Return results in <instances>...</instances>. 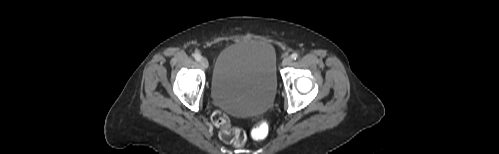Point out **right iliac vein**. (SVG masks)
Masks as SVG:
<instances>
[{
	"label": "right iliac vein",
	"instance_id": "right-iliac-vein-1",
	"mask_svg": "<svg viewBox=\"0 0 499 154\" xmlns=\"http://www.w3.org/2000/svg\"><path fill=\"white\" fill-rule=\"evenodd\" d=\"M200 64L203 68L207 69L209 67V62L205 57L200 59Z\"/></svg>",
	"mask_w": 499,
	"mask_h": 154
}]
</instances>
